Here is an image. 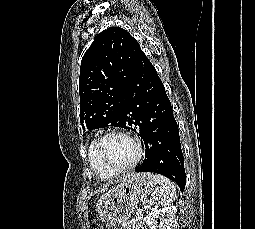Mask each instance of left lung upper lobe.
I'll list each match as a JSON object with an SVG mask.
<instances>
[{
  "label": "left lung upper lobe",
  "instance_id": "obj_1",
  "mask_svg": "<svg viewBox=\"0 0 255 229\" xmlns=\"http://www.w3.org/2000/svg\"><path fill=\"white\" fill-rule=\"evenodd\" d=\"M126 30L110 27L99 33L84 54L79 76L80 122L87 129L127 128L124 92L142 55Z\"/></svg>",
  "mask_w": 255,
  "mask_h": 229
}]
</instances>
